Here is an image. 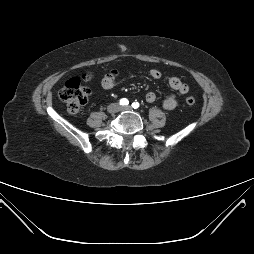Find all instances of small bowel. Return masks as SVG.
<instances>
[{"mask_svg":"<svg viewBox=\"0 0 254 254\" xmlns=\"http://www.w3.org/2000/svg\"><path fill=\"white\" fill-rule=\"evenodd\" d=\"M149 76L153 79H159L161 77V73L157 69H151L149 71ZM119 77H120L119 70L114 69L108 72L101 81L102 88L105 90L112 89L116 85ZM168 84L174 91L182 95L186 94L189 90L188 85L182 82L177 77H170L168 79ZM145 99L148 103H153L156 100V95L154 92H148L145 96ZM162 106L166 110H173L179 106V101L177 100L175 94H169L164 97L162 101Z\"/></svg>","mask_w":254,"mask_h":254,"instance_id":"obj_1","label":"small bowel"}]
</instances>
